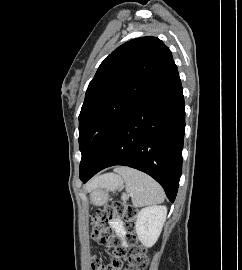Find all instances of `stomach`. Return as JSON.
<instances>
[{
  "instance_id": "1",
  "label": "stomach",
  "mask_w": 242,
  "mask_h": 270,
  "mask_svg": "<svg viewBox=\"0 0 242 270\" xmlns=\"http://www.w3.org/2000/svg\"><path fill=\"white\" fill-rule=\"evenodd\" d=\"M121 186L122 180L114 175L108 182L94 186L91 192L92 203L95 205H103L107 202L108 192L119 189Z\"/></svg>"
}]
</instances>
